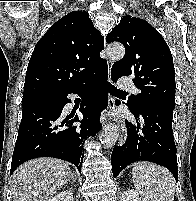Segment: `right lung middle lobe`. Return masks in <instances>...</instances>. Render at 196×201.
<instances>
[{
    "label": "right lung middle lobe",
    "mask_w": 196,
    "mask_h": 201,
    "mask_svg": "<svg viewBox=\"0 0 196 201\" xmlns=\"http://www.w3.org/2000/svg\"><path fill=\"white\" fill-rule=\"evenodd\" d=\"M52 97L53 95H35V96L23 97L22 107L44 103L49 101Z\"/></svg>",
    "instance_id": "dd1d6c3e"
}]
</instances>
